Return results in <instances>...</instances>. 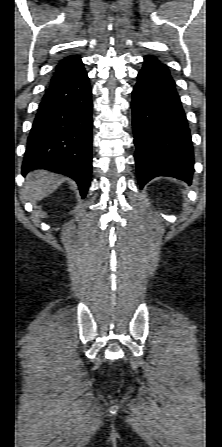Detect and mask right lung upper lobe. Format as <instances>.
Masks as SVG:
<instances>
[{
  "mask_svg": "<svg viewBox=\"0 0 222 447\" xmlns=\"http://www.w3.org/2000/svg\"><path fill=\"white\" fill-rule=\"evenodd\" d=\"M80 60V57L77 55H70L60 60L55 68V73L51 79V83L59 80L69 73L73 66Z\"/></svg>",
  "mask_w": 222,
  "mask_h": 447,
  "instance_id": "obj_1",
  "label": "right lung upper lobe"
}]
</instances>
